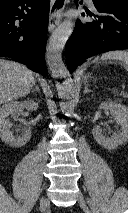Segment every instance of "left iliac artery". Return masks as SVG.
Instances as JSON below:
<instances>
[{
    "label": "left iliac artery",
    "mask_w": 128,
    "mask_h": 213,
    "mask_svg": "<svg viewBox=\"0 0 128 213\" xmlns=\"http://www.w3.org/2000/svg\"><path fill=\"white\" fill-rule=\"evenodd\" d=\"M88 203H89L93 213H99L98 208L96 207V205L91 200H88Z\"/></svg>",
    "instance_id": "44dca946"
}]
</instances>
